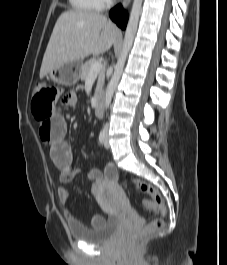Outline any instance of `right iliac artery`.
Instances as JSON below:
<instances>
[{"mask_svg": "<svg viewBox=\"0 0 227 265\" xmlns=\"http://www.w3.org/2000/svg\"><path fill=\"white\" fill-rule=\"evenodd\" d=\"M104 141H105V129H102L101 132H100V134H99V142L101 144H103Z\"/></svg>", "mask_w": 227, "mask_h": 265, "instance_id": "obj_1", "label": "right iliac artery"}]
</instances>
